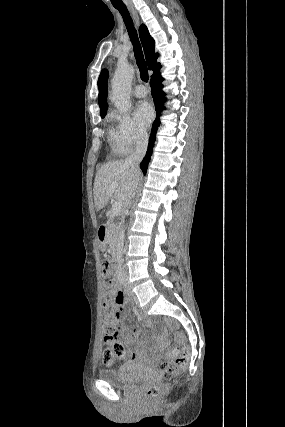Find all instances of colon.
Segmentation results:
<instances>
[{
	"label": "colon",
	"mask_w": 285,
	"mask_h": 427,
	"mask_svg": "<svg viewBox=\"0 0 285 427\" xmlns=\"http://www.w3.org/2000/svg\"><path fill=\"white\" fill-rule=\"evenodd\" d=\"M101 271L105 285V316L103 321V332L104 341L106 344V348L102 354V359L105 364L110 365L125 352V347L118 340L116 335L117 325L115 312L119 307V303L116 287L111 279V264L109 261H102ZM167 323L171 327L176 326V322L171 318L167 320ZM178 352L179 349L174 348L168 353V356H176L173 363L164 361L160 364L165 379L159 385H154L147 388L146 394L149 401H155L164 391H166L169 387V378L173 375H176L180 370L187 366L189 353L188 350L186 348H182L180 354H178Z\"/></svg>",
	"instance_id": "obj_1"
}]
</instances>
